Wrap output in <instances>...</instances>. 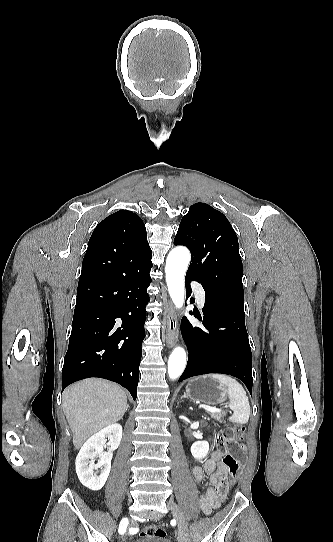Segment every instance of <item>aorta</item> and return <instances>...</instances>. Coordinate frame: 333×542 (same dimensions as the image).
Wrapping results in <instances>:
<instances>
[{
    "label": "aorta",
    "mask_w": 333,
    "mask_h": 542,
    "mask_svg": "<svg viewBox=\"0 0 333 542\" xmlns=\"http://www.w3.org/2000/svg\"><path fill=\"white\" fill-rule=\"evenodd\" d=\"M190 252L184 246H177L171 250L166 260V282L169 296L175 308H183L185 298L184 276L190 262ZM187 364L184 348H174L168 360V376L170 380H177L182 376Z\"/></svg>",
    "instance_id": "obj_1"
}]
</instances>
